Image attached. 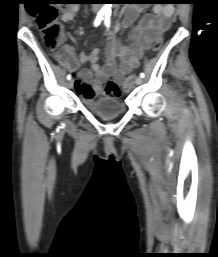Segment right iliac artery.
<instances>
[{
  "instance_id": "1",
  "label": "right iliac artery",
  "mask_w": 218,
  "mask_h": 257,
  "mask_svg": "<svg viewBox=\"0 0 218 257\" xmlns=\"http://www.w3.org/2000/svg\"><path fill=\"white\" fill-rule=\"evenodd\" d=\"M103 16H104V12H99L95 21H94V26L97 27L100 25L101 21L103 20ZM71 79V75L68 74L67 75V80H70Z\"/></svg>"
}]
</instances>
